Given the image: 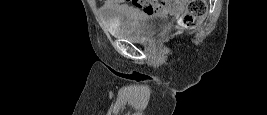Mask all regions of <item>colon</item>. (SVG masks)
I'll use <instances>...</instances> for the list:
<instances>
[{
    "instance_id": "1",
    "label": "colon",
    "mask_w": 267,
    "mask_h": 115,
    "mask_svg": "<svg viewBox=\"0 0 267 115\" xmlns=\"http://www.w3.org/2000/svg\"><path fill=\"white\" fill-rule=\"evenodd\" d=\"M143 9V7H142ZM206 10V3L198 0H190L186 4L185 11L182 15V23L187 27L197 25L199 19Z\"/></svg>"
}]
</instances>
